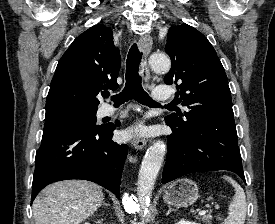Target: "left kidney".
I'll use <instances>...</instances> for the list:
<instances>
[{
	"mask_svg": "<svg viewBox=\"0 0 275 224\" xmlns=\"http://www.w3.org/2000/svg\"><path fill=\"white\" fill-rule=\"evenodd\" d=\"M176 224H197V223H195V222H190V221L181 220V221H179V222L176 223Z\"/></svg>",
	"mask_w": 275,
	"mask_h": 224,
	"instance_id": "obj_1",
	"label": "left kidney"
}]
</instances>
